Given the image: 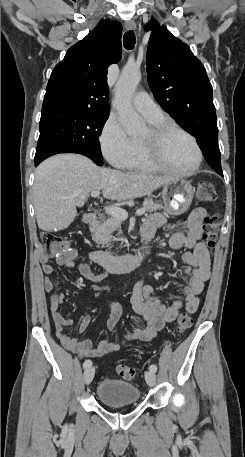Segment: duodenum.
Returning <instances> with one entry per match:
<instances>
[{
    "label": "duodenum",
    "mask_w": 245,
    "mask_h": 457,
    "mask_svg": "<svg viewBox=\"0 0 245 457\" xmlns=\"http://www.w3.org/2000/svg\"><path fill=\"white\" fill-rule=\"evenodd\" d=\"M86 223L93 226L97 223V216L89 214ZM146 251H139L131 255H112L103 251H96L92 254V259L103 268L111 272L135 269L139 267L146 257Z\"/></svg>",
    "instance_id": "duodenum-1"
}]
</instances>
